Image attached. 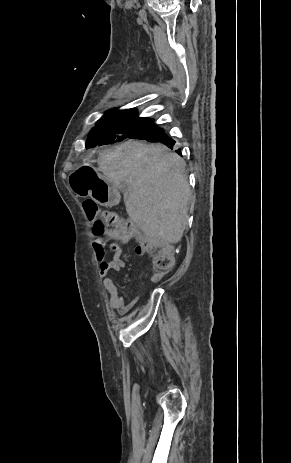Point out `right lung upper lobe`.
<instances>
[{
	"label": "right lung upper lobe",
	"mask_w": 291,
	"mask_h": 463,
	"mask_svg": "<svg viewBox=\"0 0 291 463\" xmlns=\"http://www.w3.org/2000/svg\"><path fill=\"white\" fill-rule=\"evenodd\" d=\"M106 114H111V115H124V116H135L137 117V111L134 109H128V110H112Z\"/></svg>",
	"instance_id": "cb5924a9"
}]
</instances>
